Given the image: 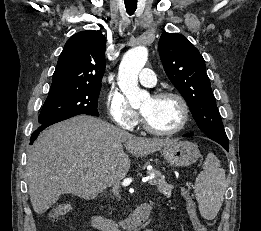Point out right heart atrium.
<instances>
[{
    "instance_id": "1",
    "label": "right heart atrium",
    "mask_w": 261,
    "mask_h": 231,
    "mask_svg": "<svg viewBox=\"0 0 261 231\" xmlns=\"http://www.w3.org/2000/svg\"><path fill=\"white\" fill-rule=\"evenodd\" d=\"M106 106L111 120L121 129L131 131L137 126L139 113L129 105L121 93L110 91Z\"/></svg>"
}]
</instances>
